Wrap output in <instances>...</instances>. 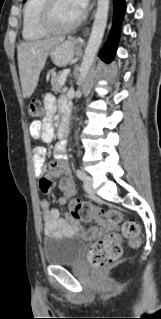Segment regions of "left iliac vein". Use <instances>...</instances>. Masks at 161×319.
I'll use <instances>...</instances> for the list:
<instances>
[{
  "mask_svg": "<svg viewBox=\"0 0 161 319\" xmlns=\"http://www.w3.org/2000/svg\"><path fill=\"white\" fill-rule=\"evenodd\" d=\"M84 187L89 193H94L93 179L88 177L86 180H84Z\"/></svg>",
  "mask_w": 161,
  "mask_h": 319,
  "instance_id": "1",
  "label": "left iliac vein"
}]
</instances>
